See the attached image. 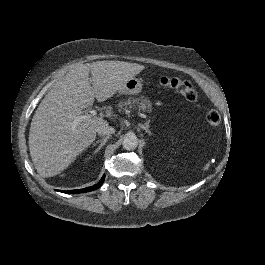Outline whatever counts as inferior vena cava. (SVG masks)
Instances as JSON below:
<instances>
[{
  "instance_id": "1",
  "label": "inferior vena cava",
  "mask_w": 265,
  "mask_h": 265,
  "mask_svg": "<svg viewBox=\"0 0 265 265\" xmlns=\"http://www.w3.org/2000/svg\"><path fill=\"white\" fill-rule=\"evenodd\" d=\"M96 132L99 134H113L115 133V129L109 126L108 123H104L96 128Z\"/></svg>"
}]
</instances>
